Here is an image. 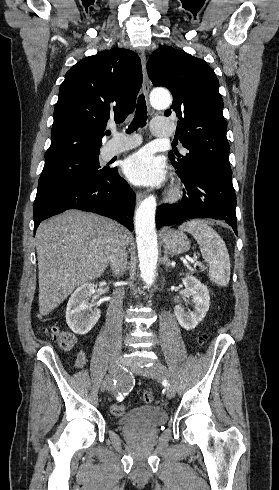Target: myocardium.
<instances>
[{
	"label": "myocardium",
	"instance_id": "myocardium-1",
	"mask_svg": "<svg viewBox=\"0 0 279 490\" xmlns=\"http://www.w3.org/2000/svg\"><path fill=\"white\" fill-rule=\"evenodd\" d=\"M179 196H180V191H179V189H177V188H173V189H172V190H170V192L168 193V199H170V200H175V199H177Z\"/></svg>",
	"mask_w": 279,
	"mask_h": 490
}]
</instances>
